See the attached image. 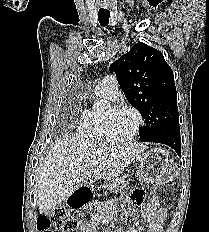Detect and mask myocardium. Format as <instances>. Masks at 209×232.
Returning <instances> with one entry per match:
<instances>
[{
    "label": "myocardium",
    "instance_id": "obj_1",
    "mask_svg": "<svg viewBox=\"0 0 209 232\" xmlns=\"http://www.w3.org/2000/svg\"><path fill=\"white\" fill-rule=\"evenodd\" d=\"M122 110H127L130 111L134 114L136 118V125L133 129V131L128 134L127 136L124 137H117L112 134L111 129H110V116L113 112L117 111H122ZM143 124V117L141 113L139 112L138 109L131 105L127 104H117V105H112L110 106L104 113H103V118H102V126H103V131L104 135L107 140L110 141H119V142H124V141H129L134 138V136L138 133L140 130L141 126Z\"/></svg>",
    "mask_w": 209,
    "mask_h": 232
}]
</instances>
